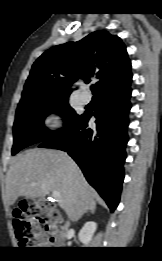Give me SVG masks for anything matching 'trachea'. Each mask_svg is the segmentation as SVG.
Masks as SVG:
<instances>
[{
  "label": "trachea",
  "instance_id": "3493384b",
  "mask_svg": "<svg viewBox=\"0 0 162 261\" xmlns=\"http://www.w3.org/2000/svg\"><path fill=\"white\" fill-rule=\"evenodd\" d=\"M91 91L93 92L94 95H96V87L95 86H91Z\"/></svg>",
  "mask_w": 162,
  "mask_h": 261
}]
</instances>
